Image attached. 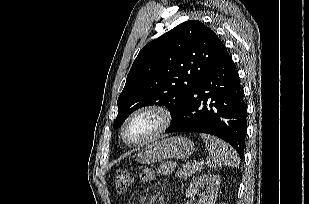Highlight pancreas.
I'll return each mask as SVG.
<instances>
[{
	"label": "pancreas",
	"instance_id": "1",
	"mask_svg": "<svg viewBox=\"0 0 309 204\" xmlns=\"http://www.w3.org/2000/svg\"><path fill=\"white\" fill-rule=\"evenodd\" d=\"M200 170L201 166L193 163H188L186 165H183V167L177 171L176 176L185 179L187 177L194 175L196 172Z\"/></svg>",
	"mask_w": 309,
	"mask_h": 204
}]
</instances>
